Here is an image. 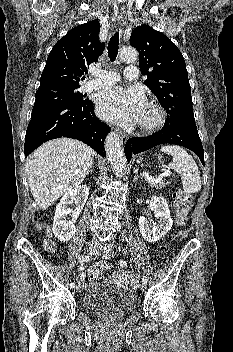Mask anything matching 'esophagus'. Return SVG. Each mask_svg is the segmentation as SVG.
Masks as SVG:
<instances>
[{"label":"esophagus","mask_w":233,"mask_h":352,"mask_svg":"<svg viewBox=\"0 0 233 352\" xmlns=\"http://www.w3.org/2000/svg\"><path fill=\"white\" fill-rule=\"evenodd\" d=\"M125 15H126V12H125L124 9H121L118 12V17L117 18H118V22L119 23H122L124 21ZM119 134H120V142H121V144L126 143L127 140H128V136L125 133H121V132H119Z\"/></svg>","instance_id":"esophagus-1"}]
</instances>
